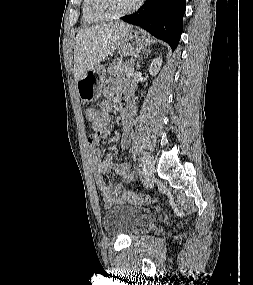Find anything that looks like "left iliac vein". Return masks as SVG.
<instances>
[{"label":"left iliac vein","mask_w":253,"mask_h":285,"mask_svg":"<svg viewBox=\"0 0 253 285\" xmlns=\"http://www.w3.org/2000/svg\"><path fill=\"white\" fill-rule=\"evenodd\" d=\"M154 172H155V162L152 158H149L147 160L146 168L144 171V183L145 184H148L152 180L154 176Z\"/></svg>","instance_id":"left-iliac-vein-1"}]
</instances>
